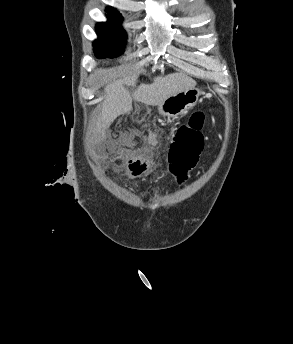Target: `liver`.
I'll return each instance as SVG.
<instances>
[{
    "label": "liver",
    "instance_id": "1",
    "mask_svg": "<svg viewBox=\"0 0 293 344\" xmlns=\"http://www.w3.org/2000/svg\"><path fill=\"white\" fill-rule=\"evenodd\" d=\"M137 80L138 76L133 75L115 80L105 87L106 95L98 120L99 128H108L118 116L130 111L132 99L146 105L159 106L168 97L196 86V81L192 78L182 73H173L165 77H155L152 84H140L131 96L124 84L135 85Z\"/></svg>",
    "mask_w": 293,
    "mask_h": 344
}]
</instances>
